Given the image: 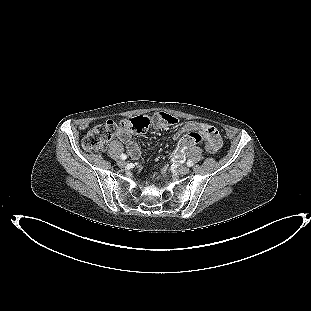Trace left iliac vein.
Masks as SVG:
<instances>
[{
	"label": "left iliac vein",
	"instance_id": "1",
	"mask_svg": "<svg viewBox=\"0 0 311 311\" xmlns=\"http://www.w3.org/2000/svg\"><path fill=\"white\" fill-rule=\"evenodd\" d=\"M189 171H190L189 167H186V166L180 167V168L178 169V173L181 174V175L188 174Z\"/></svg>",
	"mask_w": 311,
	"mask_h": 311
}]
</instances>
